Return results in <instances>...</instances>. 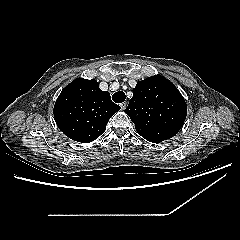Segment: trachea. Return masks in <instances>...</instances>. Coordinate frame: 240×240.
<instances>
[{"label": "trachea", "mask_w": 240, "mask_h": 240, "mask_svg": "<svg viewBox=\"0 0 240 240\" xmlns=\"http://www.w3.org/2000/svg\"><path fill=\"white\" fill-rule=\"evenodd\" d=\"M125 97H126V95L124 92L118 91L113 94L112 99L115 103H122L125 101Z\"/></svg>", "instance_id": "trachea-1"}]
</instances>
